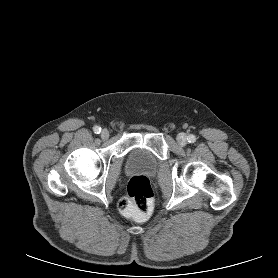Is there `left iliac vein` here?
<instances>
[{
  "label": "left iliac vein",
  "instance_id": "obj_1",
  "mask_svg": "<svg viewBox=\"0 0 278 278\" xmlns=\"http://www.w3.org/2000/svg\"><path fill=\"white\" fill-rule=\"evenodd\" d=\"M177 142H178L181 146L186 145V143H187L186 135H185L184 133H180V134L177 136Z\"/></svg>",
  "mask_w": 278,
  "mask_h": 278
}]
</instances>
